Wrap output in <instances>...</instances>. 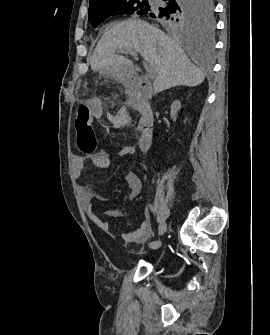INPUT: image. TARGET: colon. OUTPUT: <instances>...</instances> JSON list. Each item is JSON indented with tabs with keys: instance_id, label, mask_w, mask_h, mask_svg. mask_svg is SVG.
I'll return each mask as SVG.
<instances>
[{
	"instance_id": "colon-1",
	"label": "colon",
	"mask_w": 270,
	"mask_h": 335,
	"mask_svg": "<svg viewBox=\"0 0 270 335\" xmlns=\"http://www.w3.org/2000/svg\"><path fill=\"white\" fill-rule=\"evenodd\" d=\"M76 122H77V133L85 134L84 141H77L76 147L83 148L84 154H93L97 146V139L92 132L93 117L89 116L88 110H83L82 107L79 108L77 112Z\"/></svg>"
}]
</instances>
